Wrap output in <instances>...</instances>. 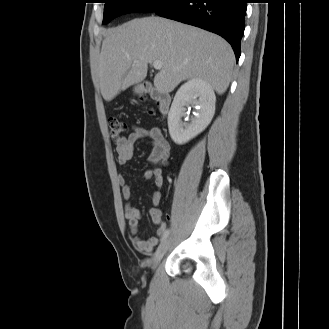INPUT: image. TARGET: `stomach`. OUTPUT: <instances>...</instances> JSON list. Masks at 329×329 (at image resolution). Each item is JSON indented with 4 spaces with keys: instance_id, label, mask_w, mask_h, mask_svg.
<instances>
[{
    "instance_id": "1",
    "label": "stomach",
    "mask_w": 329,
    "mask_h": 329,
    "mask_svg": "<svg viewBox=\"0 0 329 329\" xmlns=\"http://www.w3.org/2000/svg\"><path fill=\"white\" fill-rule=\"evenodd\" d=\"M145 91V88L143 85H137L135 86L134 88V92L137 93V94H141Z\"/></svg>"
}]
</instances>
